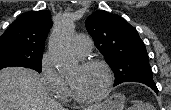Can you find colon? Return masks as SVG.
<instances>
[{
	"mask_svg": "<svg viewBox=\"0 0 171 110\" xmlns=\"http://www.w3.org/2000/svg\"><path fill=\"white\" fill-rule=\"evenodd\" d=\"M129 110H135L134 106L130 107Z\"/></svg>",
	"mask_w": 171,
	"mask_h": 110,
	"instance_id": "colon-1",
	"label": "colon"
}]
</instances>
